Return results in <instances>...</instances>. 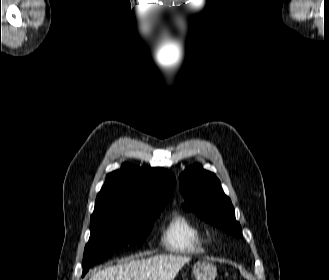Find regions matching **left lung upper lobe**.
Masks as SVG:
<instances>
[{
	"instance_id": "1",
	"label": "left lung upper lobe",
	"mask_w": 329,
	"mask_h": 280,
	"mask_svg": "<svg viewBox=\"0 0 329 280\" xmlns=\"http://www.w3.org/2000/svg\"><path fill=\"white\" fill-rule=\"evenodd\" d=\"M179 179L180 192L186 201L184 210L190 209L223 231L242 237L231 200L224 194L214 173L194 165L188 167Z\"/></svg>"
}]
</instances>
